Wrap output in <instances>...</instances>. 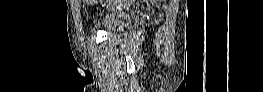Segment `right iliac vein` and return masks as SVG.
Returning a JSON list of instances; mask_svg holds the SVG:
<instances>
[{"label": "right iliac vein", "mask_w": 263, "mask_h": 92, "mask_svg": "<svg viewBox=\"0 0 263 92\" xmlns=\"http://www.w3.org/2000/svg\"><path fill=\"white\" fill-rule=\"evenodd\" d=\"M96 5H99V0H96Z\"/></svg>", "instance_id": "right-iliac-vein-1"}]
</instances>
